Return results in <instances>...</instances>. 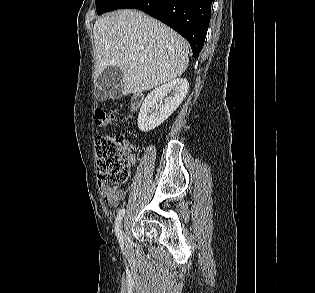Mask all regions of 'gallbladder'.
I'll list each match as a JSON object with an SVG mask.
<instances>
[{
  "mask_svg": "<svg viewBox=\"0 0 315 293\" xmlns=\"http://www.w3.org/2000/svg\"><path fill=\"white\" fill-rule=\"evenodd\" d=\"M122 79L123 73L119 67L111 65L105 68L98 77L100 92L103 94L100 99L120 98L122 96Z\"/></svg>",
  "mask_w": 315,
  "mask_h": 293,
  "instance_id": "bac80fb5",
  "label": "gallbladder"
}]
</instances>
